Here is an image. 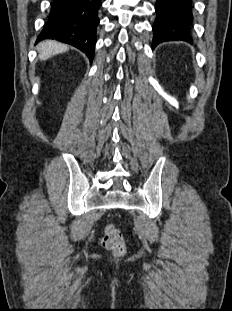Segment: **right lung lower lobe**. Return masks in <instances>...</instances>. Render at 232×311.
Segmentation results:
<instances>
[{"label":"right lung lower lobe","instance_id":"1","mask_svg":"<svg viewBox=\"0 0 232 311\" xmlns=\"http://www.w3.org/2000/svg\"><path fill=\"white\" fill-rule=\"evenodd\" d=\"M101 0H53L48 21L37 38L56 39L94 58Z\"/></svg>","mask_w":232,"mask_h":311}]
</instances>
